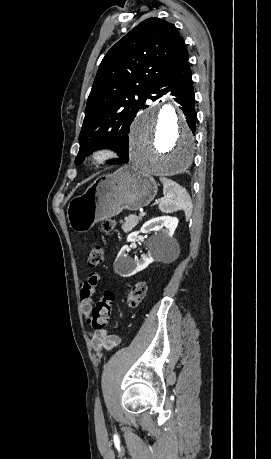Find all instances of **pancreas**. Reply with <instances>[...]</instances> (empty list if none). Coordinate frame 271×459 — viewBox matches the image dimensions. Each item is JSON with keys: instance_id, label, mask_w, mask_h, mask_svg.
<instances>
[{"instance_id": "1", "label": "pancreas", "mask_w": 271, "mask_h": 459, "mask_svg": "<svg viewBox=\"0 0 271 459\" xmlns=\"http://www.w3.org/2000/svg\"><path fill=\"white\" fill-rule=\"evenodd\" d=\"M125 222L122 224V229H124L125 233L127 231H131L132 228H135L137 226L138 222L142 220V217L140 216H127V218H124Z\"/></svg>"}]
</instances>
